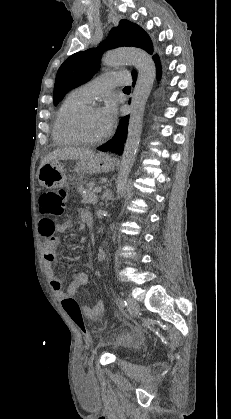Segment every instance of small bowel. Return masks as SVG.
<instances>
[{"instance_id":"c3829d8e","label":"small bowel","mask_w":231,"mask_h":419,"mask_svg":"<svg viewBox=\"0 0 231 419\" xmlns=\"http://www.w3.org/2000/svg\"><path fill=\"white\" fill-rule=\"evenodd\" d=\"M80 219L87 225H91L92 223V215L87 211H80ZM70 226V220L56 224L51 219H42L38 226L40 235L45 238L44 259L47 264L50 284L56 296L62 299V301L67 297L75 296L81 287L88 284L89 280L87 273L78 272L64 290L63 282L53 268V264L57 261V249L59 246V238L55 235V233H64L70 228ZM104 308L105 306L103 300L96 301L91 307L85 305L80 307L83 315L93 321H97L101 318Z\"/></svg>"}]
</instances>
